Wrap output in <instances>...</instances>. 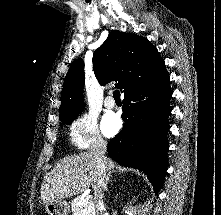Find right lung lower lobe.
<instances>
[{"label": "right lung lower lobe", "instance_id": "98d812e1", "mask_svg": "<svg viewBox=\"0 0 221 215\" xmlns=\"http://www.w3.org/2000/svg\"><path fill=\"white\" fill-rule=\"evenodd\" d=\"M166 69L124 94V126L108 144L109 156L120 165L144 171L156 192L163 185L172 92Z\"/></svg>", "mask_w": 221, "mask_h": 215}]
</instances>
